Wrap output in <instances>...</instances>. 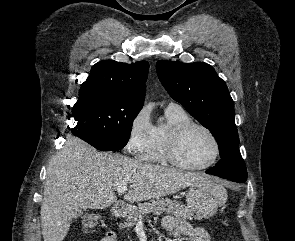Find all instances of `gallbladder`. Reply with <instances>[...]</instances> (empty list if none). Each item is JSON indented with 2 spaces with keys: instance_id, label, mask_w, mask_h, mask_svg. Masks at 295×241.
<instances>
[{
  "instance_id": "obj_1",
  "label": "gallbladder",
  "mask_w": 295,
  "mask_h": 241,
  "mask_svg": "<svg viewBox=\"0 0 295 241\" xmlns=\"http://www.w3.org/2000/svg\"><path fill=\"white\" fill-rule=\"evenodd\" d=\"M83 214V211L81 209H78L74 212V217L77 218Z\"/></svg>"
}]
</instances>
